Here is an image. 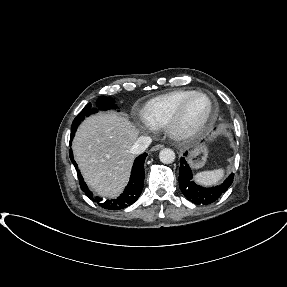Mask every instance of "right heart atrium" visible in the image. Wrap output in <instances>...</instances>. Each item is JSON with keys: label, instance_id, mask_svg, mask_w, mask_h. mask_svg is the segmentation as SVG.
<instances>
[{"label": "right heart atrium", "instance_id": "1", "mask_svg": "<svg viewBox=\"0 0 287 287\" xmlns=\"http://www.w3.org/2000/svg\"><path fill=\"white\" fill-rule=\"evenodd\" d=\"M144 123H145V129L146 130H152L154 128L151 125H149L148 123H146L145 121H144Z\"/></svg>", "mask_w": 287, "mask_h": 287}]
</instances>
